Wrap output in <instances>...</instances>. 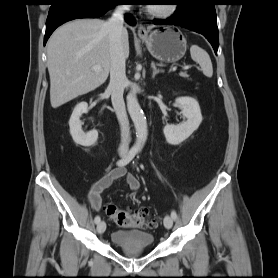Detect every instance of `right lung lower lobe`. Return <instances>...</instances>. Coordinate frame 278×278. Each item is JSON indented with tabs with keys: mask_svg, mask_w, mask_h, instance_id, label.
Masks as SVG:
<instances>
[{
	"mask_svg": "<svg viewBox=\"0 0 278 278\" xmlns=\"http://www.w3.org/2000/svg\"><path fill=\"white\" fill-rule=\"evenodd\" d=\"M125 2L124 0H54L46 21L44 45L52 32L61 24L78 18H98L114 6ZM125 18L128 23H135L132 17Z\"/></svg>",
	"mask_w": 278,
	"mask_h": 278,
	"instance_id": "obj_1",
	"label": "right lung lower lobe"
}]
</instances>
